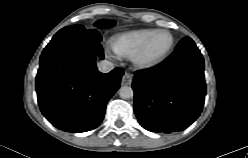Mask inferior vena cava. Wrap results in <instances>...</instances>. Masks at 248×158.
<instances>
[{
	"mask_svg": "<svg viewBox=\"0 0 248 158\" xmlns=\"http://www.w3.org/2000/svg\"><path fill=\"white\" fill-rule=\"evenodd\" d=\"M114 69V64L108 60H102L98 63V70L102 73H108Z\"/></svg>",
	"mask_w": 248,
	"mask_h": 158,
	"instance_id": "obj_1",
	"label": "inferior vena cava"
}]
</instances>
